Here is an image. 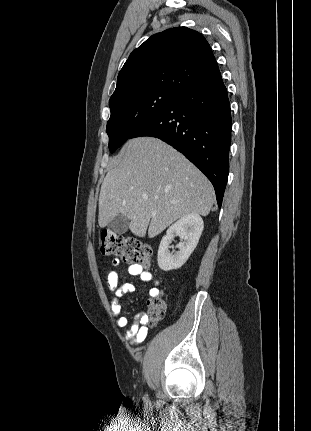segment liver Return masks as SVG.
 Returning a JSON list of instances; mask_svg holds the SVG:
<instances>
[{
  "label": "liver",
  "instance_id": "liver-1",
  "mask_svg": "<svg viewBox=\"0 0 311 431\" xmlns=\"http://www.w3.org/2000/svg\"><path fill=\"white\" fill-rule=\"evenodd\" d=\"M121 152L123 160L108 170L101 186L100 227L122 214L134 235L145 237L148 229L155 237L178 217L208 216L214 188L180 152L157 138H134Z\"/></svg>",
  "mask_w": 311,
  "mask_h": 431
}]
</instances>
